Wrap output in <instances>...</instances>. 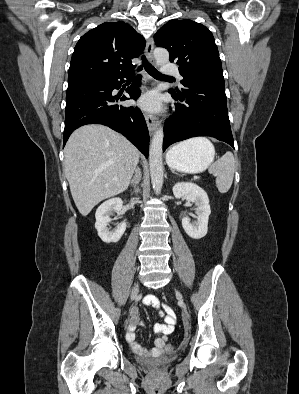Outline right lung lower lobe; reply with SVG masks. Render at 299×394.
Returning <instances> with one entry per match:
<instances>
[{
  "label": "right lung lower lobe",
  "mask_w": 299,
  "mask_h": 394,
  "mask_svg": "<svg viewBox=\"0 0 299 394\" xmlns=\"http://www.w3.org/2000/svg\"><path fill=\"white\" fill-rule=\"evenodd\" d=\"M131 73L68 84L64 145L78 127L86 124H103L122 133L148 157L149 134L142 112L137 107L117 105V101L128 98L112 95V91L119 89L124 82L123 78ZM140 79L141 76L138 75L127 89L131 99L136 100L140 96Z\"/></svg>",
  "instance_id": "98d812e1"
}]
</instances>
